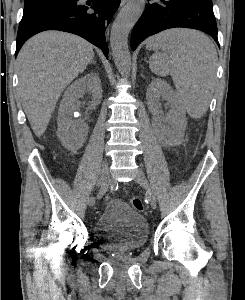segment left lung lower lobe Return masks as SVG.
<instances>
[{
	"mask_svg": "<svg viewBox=\"0 0 245 300\" xmlns=\"http://www.w3.org/2000/svg\"><path fill=\"white\" fill-rule=\"evenodd\" d=\"M176 27L203 31L219 46L211 0H157L148 3L146 11L134 26L131 48L135 50L147 37Z\"/></svg>",
	"mask_w": 245,
	"mask_h": 300,
	"instance_id": "1",
	"label": "left lung lower lobe"
}]
</instances>
